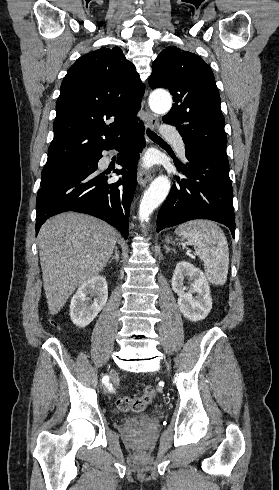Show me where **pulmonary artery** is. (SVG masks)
<instances>
[{"label":"pulmonary artery","mask_w":279,"mask_h":490,"mask_svg":"<svg viewBox=\"0 0 279 490\" xmlns=\"http://www.w3.org/2000/svg\"><path fill=\"white\" fill-rule=\"evenodd\" d=\"M159 128L162 130V134L166 137L167 140H174L175 137H178L179 135V130L178 128H168V125L165 122H162L159 125ZM177 149L179 153L184 156L185 155V148L184 145L181 141L176 142Z\"/></svg>","instance_id":"obj_1"}]
</instances>
